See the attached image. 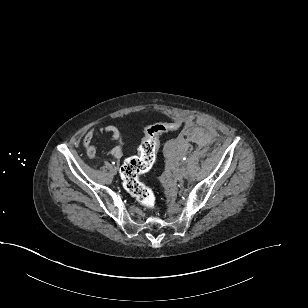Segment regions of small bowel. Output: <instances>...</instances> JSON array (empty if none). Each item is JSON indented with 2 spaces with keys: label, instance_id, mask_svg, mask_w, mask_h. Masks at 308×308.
I'll list each match as a JSON object with an SVG mask.
<instances>
[{
  "label": "small bowel",
  "instance_id": "obj_1",
  "mask_svg": "<svg viewBox=\"0 0 308 308\" xmlns=\"http://www.w3.org/2000/svg\"><path fill=\"white\" fill-rule=\"evenodd\" d=\"M194 120L192 118H187L185 120L186 125H192ZM100 133H107L111 135L112 138H117L119 131L115 126L108 125L99 129H91L87 132L83 139V147L85 148L86 155L89 159H93L96 155V147L94 145V140L96 136ZM109 155L114 157H119L121 154V149L119 147H115L108 152Z\"/></svg>",
  "mask_w": 308,
  "mask_h": 308
}]
</instances>
